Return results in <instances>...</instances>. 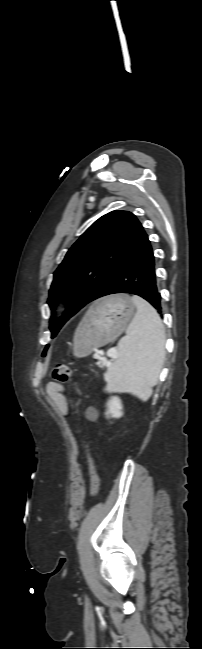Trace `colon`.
I'll use <instances>...</instances> for the list:
<instances>
[{
	"label": "colon",
	"instance_id": "1",
	"mask_svg": "<svg viewBox=\"0 0 202 649\" xmlns=\"http://www.w3.org/2000/svg\"><path fill=\"white\" fill-rule=\"evenodd\" d=\"M51 378L59 383H67L70 382L73 378V373L71 368L64 363H58L54 365L52 371H51ZM91 463H92V478H91V483H90V497L93 498L98 492L99 488V475H98V469L96 466V461L93 456H91Z\"/></svg>",
	"mask_w": 202,
	"mask_h": 649
}]
</instances>
